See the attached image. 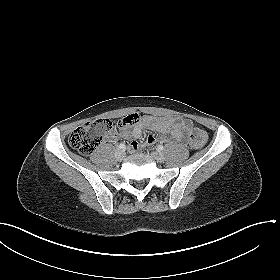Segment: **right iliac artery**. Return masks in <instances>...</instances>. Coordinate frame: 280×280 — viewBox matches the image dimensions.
<instances>
[{"label": "right iliac artery", "instance_id": "right-iliac-artery-1", "mask_svg": "<svg viewBox=\"0 0 280 280\" xmlns=\"http://www.w3.org/2000/svg\"><path fill=\"white\" fill-rule=\"evenodd\" d=\"M118 147H119L120 149H123V150L126 148L125 144H122V143H121Z\"/></svg>", "mask_w": 280, "mask_h": 280}]
</instances>
